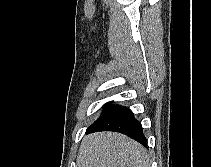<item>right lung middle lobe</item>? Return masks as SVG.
I'll list each match as a JSON object with an SVG mask.
<instances>
[{
    "mask_svg": "<svg viewBox=\"0 0 211 167\" xmlns=\"http://www.w3.org/2000/svg\"><path fill=\"white\" fill-rule=\"evenodd\" d=\"M112 103H113L112 101L106 103V104L103 106V107H104V111H103V112H105V111L111 106Z\"/></svg>",
    "mask_w": 211,
    "mask_h": 167,
    "instance_id": "1",
    "label": "right lung middle lobe"
}]
</instances>
